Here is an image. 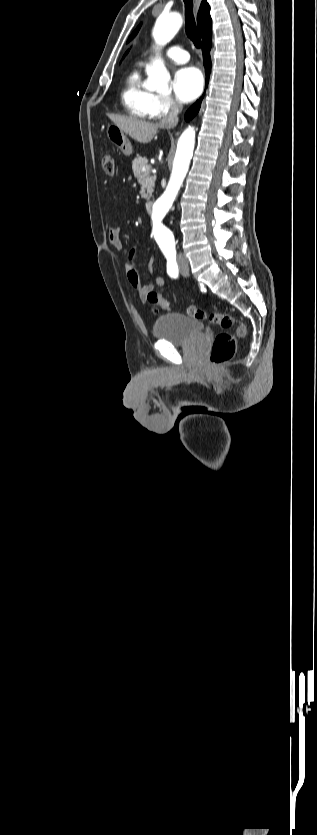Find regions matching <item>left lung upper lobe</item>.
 Here are the masks:
<instances>
[{
    "instance_id": "1",
    "label": "left lung upper lobe",
    "mask_w": 317,
    "mask_h": 835,
    "mask_svg": "<svg viewBox=\"0 0 317 835\" xmlns=\"http://www.w3.org/2000/svg\"><path fill=\"white\" fill-rule=\"evenodd\" d=\"M139 28H140V26H139V27H138V28H137V29L133 32V34L130 36V38L128 39V41H130V40H131V39H132V38H133V37L137 34V32H138Z\"/></svg>"
}]
</instances>
